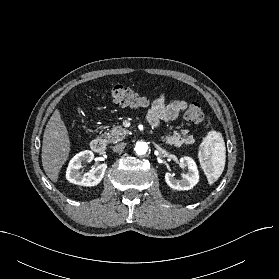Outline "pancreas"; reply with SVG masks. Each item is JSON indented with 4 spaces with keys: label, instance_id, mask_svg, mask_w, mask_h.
Wrapping results in <instances>:
<instances>
[{
    "label": "pancreas",
    "instance_id": "obj_1",
    "mask_svg": "<svg viewBox=\"0 0 279 279\" xmlns=\"http://www.w3.org/2000/svg\"><path fill=\"white\" fill-rule=\"evenodd\" d=\"M129 131L120 125L113 127L108 133L102 134L109 143H117L125 139ZM188 130H182L181 133L174 131L173 134L169 133L166 137H161L168 145L180 147L183 144L189 145L194 143L192 135H188Z\"/></svg>",
    "mask_w": 279,
    "mask_h": 279
}]
</instances>
